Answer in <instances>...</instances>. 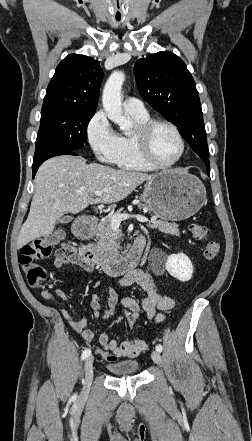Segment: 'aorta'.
<instances>
[{"instance_id": "762f6f07", "label": "aorta", "mask_w": 252, "mask_h": 441, "mask_svg": "<svg viewBox=\"0 0 252 441\" xmlns=\"http://www.w3.org/2000/svg\"><path fill=\"white\" fill-rule=\"evenodd\" d=\"M124 80L125 75L121 71H114L109 76L103 89L102 104L108 118L119 125L122 131H128L133 123L123 115L121 89Z\"/></svg>"}]
</instances>
